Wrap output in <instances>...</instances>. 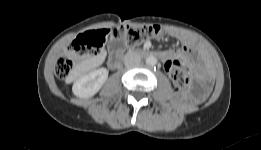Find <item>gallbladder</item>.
Masks as SVG:
<instances>
[{
	"instance_id": "1",
	"label": "gallbladder",
	"mask_w": 261,
	"mask_h": 150,
	"mask_svg": "<svg viewBox=\"0 0 261 150\" xmlns=\"http://www.w3.org/2000/svg\"><path fill=\"white\" fill-rule=\"evenodd\" d=\"M124 43L121 40L113 39L108 42V49L113 54L118 53L119 51L123 50Z\"/></svg>"
}]
</instances>
